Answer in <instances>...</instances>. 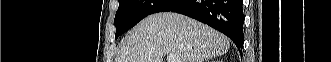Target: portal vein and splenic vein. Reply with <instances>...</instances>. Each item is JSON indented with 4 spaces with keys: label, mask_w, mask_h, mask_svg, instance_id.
<instances>
[{
    "label": "portal vein and splenic vein",
    "mask_w": 331,
    "mask_h": 62,
    "mask_svg": "<svg viewBox=\"0 0 331 62\" xmlns=\"http://www.w3.org/2000/svg\"><path fill=\"white\" fill-rule=\"evenodd\" d=\"M167 62H176V56H174L173 54H169L167 56Z\"/></svg>",
    "instance_id": "1"
}]
</instances>
